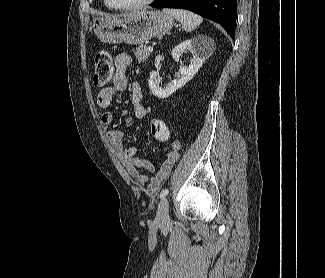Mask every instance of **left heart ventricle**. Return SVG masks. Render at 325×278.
Segmentation results:
<instances>
[{"instance_id":"b2bd125f","label":"left heart ventricle","mask_w":325,"mask_h":278,"mask_svg":"<svg viewBox=\"0 0 325 278\" xmlns=\"http://www.w3.org/2000/svg\"><path fill=\"white\" fill-rule=\"evenodd\" d=\"M111 1L116 5H130V4L139 3L143 0H111Z\"/></svg>"}]
</instances>
